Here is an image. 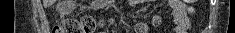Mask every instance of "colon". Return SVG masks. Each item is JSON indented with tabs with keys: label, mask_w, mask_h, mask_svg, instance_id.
Listing matches in <instances>:
<instances>
[{
	"label": "colon",
	"mask_w": 235,
	"mask_h": 33,
	"mask_svg": "<svg viewBox=\"0 0 235 33\" xmlns=\"http://www.w3.org/2000/svg\"><path fill=\"white\" fill-rule=\"evenodd\" d=\"M191 1L189 0V2ZM155 21L158 22V18ZM98 26L99 22L92 16L66 18L54 26L52 33H94ZM139 32L145 33L146 27L139 26Z\"/></svg>",
	"instance_id": "1"
}]
</instances>
